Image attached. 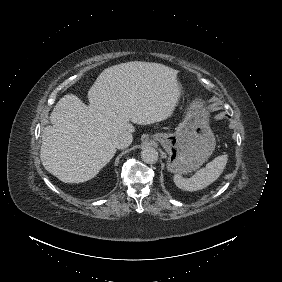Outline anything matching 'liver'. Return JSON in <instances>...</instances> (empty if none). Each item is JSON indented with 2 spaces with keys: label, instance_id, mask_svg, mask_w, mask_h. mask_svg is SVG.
Instances as JSON below:
<instances>
[{
  "label": "liver",
  "instance_id": "6515ba94",
  "mask_svg": "<svg viewBox=\"0 0 282 282\" xmlns=\"http://www.w3.org/2000/svg\"><path fill=\"white\" fill-rule=\"evenodd\" d=\"M178 70L132 61L104 69L88 91L89 105L73 94L55 105L43 130L40 159L65 183L94 178L116 153L112 139L134 126L173 114L181 96Z\"/></svg>",
  "mask_w": 282,
  "mask_h": 282
}]
</instances>
